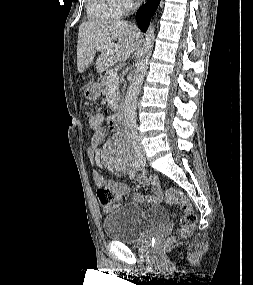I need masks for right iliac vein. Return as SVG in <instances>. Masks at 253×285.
Masks as SVG:
<instances>
[{
	"label": "right iliac vein",
	"mask_w": 253,
	"mask_h": 285,
	"mask_svg": "<svg viewBox=\"0 0 253 285\" xmlns=\"http://www.w3.org/2000/svg\"><path fill=\"white\" fill-rule=\"evenodd\" d=\"M135 156H136L137 165L138 166L144 165L145 163L144 153L140 148L136 149Z\"/></svg>",
	"instance_id": "1"
}]
</instances>
